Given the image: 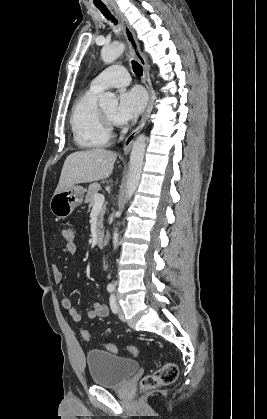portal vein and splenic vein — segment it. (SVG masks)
<instances>
[{"label":"portal vein and splenic vein","instance_id":"18ae733b","mask_svg":"<svg viewBox=\"0 0 267 419\" xmlns=\"http://www.w3.org/2000/svg\"><path fill=\"white\" fill-rule=\"evenodd\" d=\"M94 200H95V205L94 206L103 205V203L105 201V197L102 194H96L94 196Z\"/></svg>","mask_w":267,"mask_h":419}]
</instances>
